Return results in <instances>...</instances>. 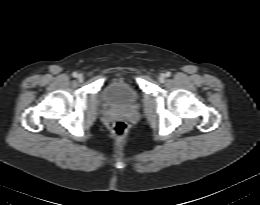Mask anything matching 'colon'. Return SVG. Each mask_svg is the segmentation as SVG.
<instances>
[{
  "label": "colon",
  "instance_id": "1",
  "mask_svg": "<svg viewBox=\"0 0 260 205\" xmlns=\"http://www.w3.org/2000/svg\"><path fill=\"white\" fill-rule=\"evenodd\" d=\"M112 133L118 139H122L127 133V125L124 121H116L112 125Z\"/></svg>",
  "mask_w": 260,
  "mask_h": 205
}]
</instances>
